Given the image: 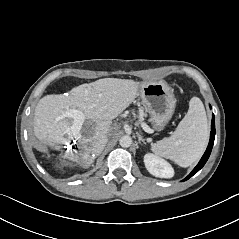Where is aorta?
<instances>
[{
	"label": "aorta",
	"instance_id": "1",
	"mask_svg": "<svg viewBox=\"0 0 239 239\" xmlns=\"http://www.w3.org/2000/svg\"><path fill=\"white\" fill-rule=\"evenodd\" d=\"M119 144L123 148H128L132 144V138L128 135L122 136L119 140Z\"/></svg>",
	"mask_w": 239,
	"mask_h": 239
}]
</instances>
